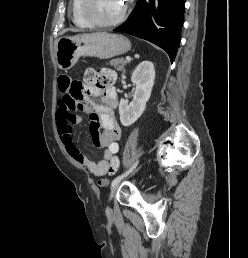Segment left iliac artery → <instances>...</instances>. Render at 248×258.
I'll use <instances>...</instances> for the list:
<instances>
[{"instance_id": "obj_1", "label": "left iliac artery", "mask_w": 248, "mask_h": 258, "mask_svg": "<svg viewBox=\"0 0 248 258\" xmlns=\"http://www.w3.org/2000/svg\"><path fill=\"white\" fill-rule=\"evenodd\" d=\"M137 164H138V161H136V162L132 165V167H131L129 170H127L125 173H123V174L117 176V177L112 181V186H114L115 184H117L118 182H120L121 179H123V178L126 177L128 174H130V173L136 168Z\"/></svg>"}]
</instances>
